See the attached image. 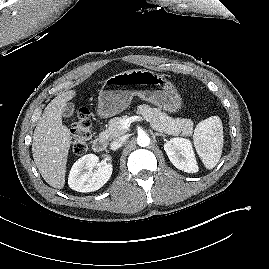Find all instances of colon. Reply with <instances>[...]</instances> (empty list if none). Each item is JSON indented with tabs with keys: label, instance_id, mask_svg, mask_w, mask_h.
Returning a JSON list of instances; mask_svg holds the SVG:
<instances>
[{
	"label": "colon",
	"instance_id": "obj_1",
	"mask_svg": "<svg viewBox=\"0 0 269 269\" xmlns=\"http://www.w3.org/2000/svg\"><path fill=\"white\" fill-rule=\"evenodd\" d=\"M90 138L89 111L86 108H80L71 120V152L75 155L85 152Z\"/></svg>",
	"mask_w": 269,
	"mask_h": 269
}]
</instances>
